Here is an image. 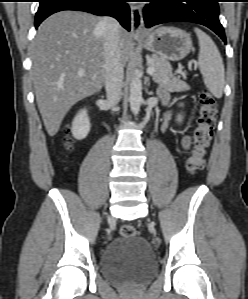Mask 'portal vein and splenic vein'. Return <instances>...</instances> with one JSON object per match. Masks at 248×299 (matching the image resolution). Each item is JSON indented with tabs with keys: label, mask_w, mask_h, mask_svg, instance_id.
Wrapping results in <instances>:
<instances>
[{
	"label": "portal vein and splenic vein",
	"mask_w": 248,
	"mask_h": 299,
	"mask_svg": "<svg viewBox=\"0 0 248 299\" xmlns=\"http://www.w3.org/2000/svg\"><path fill=\"white\" fill-rule=\"evenodd\" d=\"M154 72H155V68L152 67V66H149L148 69H147V73L152 75ZM79 73L83 74V70H81Z\"/></svg>",
	"instance_id": "portal-vein-and-splenic-vein-1"
}]
</instances>
